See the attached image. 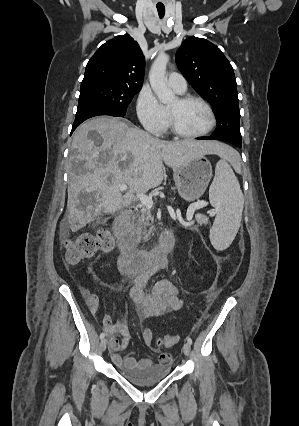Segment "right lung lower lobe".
<instances>
[{"instance_id":"obj_1","label":"right lung lower lobe","mask_w":299,"mask_h":426,"mask_svg":"<svg viewBox=\"0 0 299 426\" xmlns=\"http://www.w3.org/2000/svg\"><path fill=\"white\" fill-rule=\"evenodd\" d=\"M99 115L124 117V114H120L109 107L100 105H87L78 108L71 133L86 119Z\"/></svg>"}]
</instances>
